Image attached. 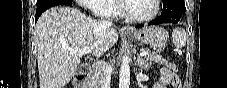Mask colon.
<instances>
[{
    "mask_svg": "<svg viewBox=\"0 0 227 88\" xmlns=\"http://www.w3.org/2000/svg\"><path fill=\"white\" fill-rule=\"evenodd\" d=\"M173 87H175V88H180L181 86H180V82H175L174 84H173Z\"/></svg>",
    "mask_w": 227,
    "mask_h": 88,
    "instance_id": "1",
    "label": "colon"
}]
</instances>
